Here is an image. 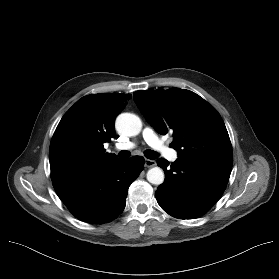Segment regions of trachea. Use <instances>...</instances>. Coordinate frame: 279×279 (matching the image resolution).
<instances>
[{"mask_svg":"<svg viewBox=\"0 0 279 279\" xmlns=\"http://www.w3.org/2000/svg\"><path fill=\"white\" fill-rule=\"evenodd\" d=\"M144 154L148 159H151V160L156 159L158 157V154L152 150H146L144 152ZM118 156L121 158H127L130 156V152L123 150V151L119 152Z\"/></svg>","mask_w":279,"mask_h":279,"instance_id":"3493384b","label":"trachea"}]
</instances>
